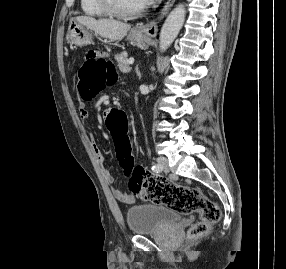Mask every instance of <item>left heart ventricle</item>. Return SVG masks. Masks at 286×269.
I'll return each mask as SVG.
<instances>
[{"instance_id": "b2bd125f", "label": "left heart ventricle", "mask_w": 286, "mask_h": 269, "mask_svg": "<svg viewBox=\"0 0 286 269\" xmlns=\"http://www.w3.org/2000/svg\"><path fill=\"white\" fill-rule=\"evenodd\" d=\"M117 7L122 11H133L143 6L142 0H114Z\"/></svg>"}]
</instances>
